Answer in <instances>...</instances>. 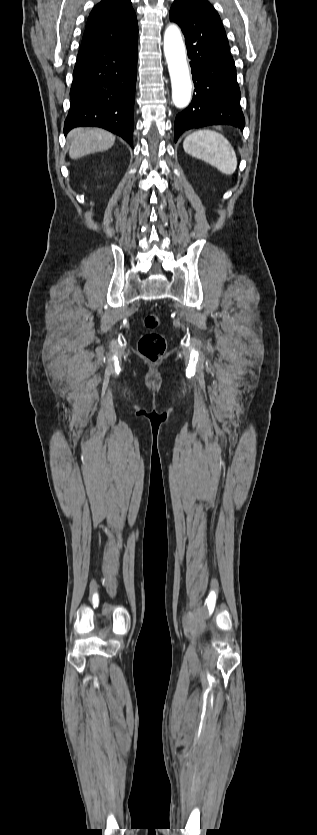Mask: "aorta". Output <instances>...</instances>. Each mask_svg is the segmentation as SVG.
<instances>
[{
  "instance_id": "obj_1",
  "label": "aorta",
  "mask_w": 317,
  "mask_h": 835,
  "mask_svg": "<svg viewBox=\"0 0 317 835\" xmlns=\"http://www.w3.org/2000/svg\"><path fill=\"white\" fill-rule=\"evenodd\" d=\"M164 55L172 85V101L179 109L191 102L192 82L186 60L185 45L177 25L170 24L164 33Z\"/></svg>"
}]
</instances>
